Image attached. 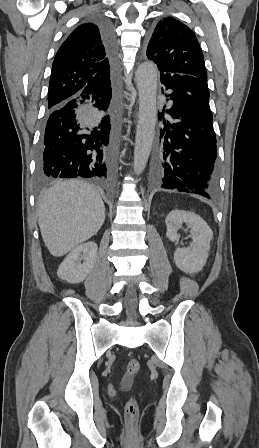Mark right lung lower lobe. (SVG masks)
<instances>
[{"mask_svg": "<svg viewBox=\"0 0 259 448\" xmlns=\"http://www.w3.org/2000/svg\"><path fill=\"white\" fill-rule=\"evenodd\" d=\"M88 22L99 28L111 71L116 55L113 27L102 18ZM112 87L111 83L102 91L81 94L47 108L36 154L38 181L109 176L116 136Z\"/></svg>", "mask_w": 259, "mask_h": 448, "instance_id": "right-lung-lower-lobe-1", "label": "right lung lower lobe"}]
</instances>
